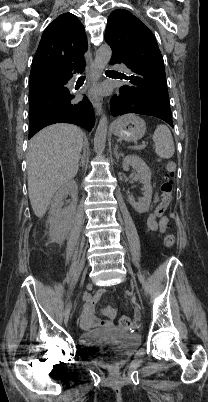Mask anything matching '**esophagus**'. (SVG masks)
<instances>
[{
  "label": "esophagus",
  "mask_w": 208,
  "mask_h": 402,
  "mask_svg": "<svg viewBox=\"0 0 208 402\" xmlns=\"http://www.w3.org/2000/svg\"><path fill=\"white\" fill-rule=\"evenodd\" d=\"M86 71L89 78L88 97L93 107L95 108L97 115H100L102 113V102L93 92V87L96 83L97 76L95 71V63L92 56L86 62Z\"/></svg>",
  "instance_id": "obj_1"
}]
</instances>
